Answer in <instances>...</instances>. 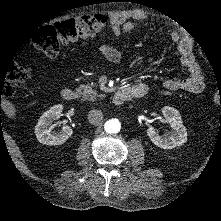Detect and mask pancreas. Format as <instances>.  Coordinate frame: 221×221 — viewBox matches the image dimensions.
Segmentation results:
<instances>
[{
	"mask_svg": "<svg viewBox=\"0 0 221 221\" xmlns=\"http://www.w3.org/2000/svg\"><path fill=\"white\" fill-rule=\"evenodd\" d=\"M76 91L78 94L81 95L82 100L94 102L97 97H105V95H98L97 91L93 89V87L90 85L82 84L78 88H76Z\"/></svg>",
	"mask_w": 221,
	"mask_h": 221,
	"instance_id": "1",
	"label": "pancreas"
}]
</instances>
